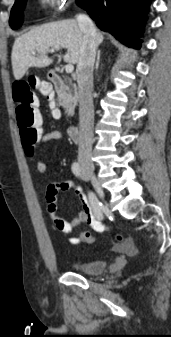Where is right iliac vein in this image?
<instances>
[{
	"mask_svg": "<svg viewBox=\"0 0 171 337\" xmlns=\"http://www.w3.org/2000/svg\"><path fill=\"white\" fill-rule=\"evenodd\" d=\"M83 169H84V173L86 174V176L91 180L97 194L99 195L100 198L103 199L104 197V193L103 190L96 178L95 172H94V168L92 166H88V165H83Z\"/></svg>",
	"mask_w": 171,
	"mask_h": 337,
	"instance_id": "1",
	"label": "right iliac vein"
}]
</instances>
